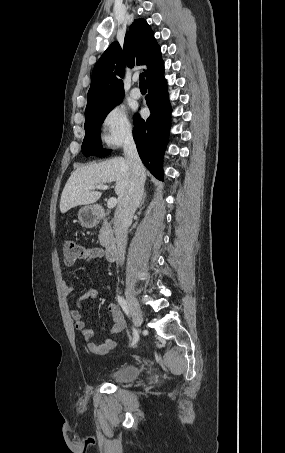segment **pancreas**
<instances>
[{
	"label": "pancreas",
	"mask_w": 285,
	"mask_h": 453,
	"mask_svg": "<svg viewBox=\"0 0 285 453\" xmlns=\"http://www.w3.org/2000/svg\"><path fill=\"white\" fill-rule=\"evenodd\" d=\"M111 235H112L111 226H110V224L107 221H104L102 223V227L100 229V233H99V236H98L100 244L102 246L107 245L109 243V241H110Z\"/></svg>",
	"instance_id": "pancreas-1"
}]
</instances>
